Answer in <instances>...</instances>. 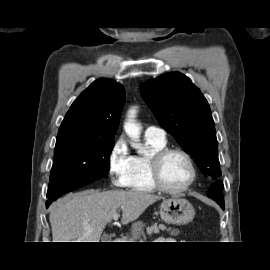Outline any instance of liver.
<instances>
[{
  "mask_svg": "<svg viewBox=\"0 0 270 270\" xmlns=\"http://www.w3.org/2000/svg\"><path fill=\"white\" fill-rule=\"evenodd\" d=\"M159 196L139 191H83L57 201L50 210L53 242H99L119 209L121 223L136 220Z\"/></svg>",
  "mask_w": 270,
  "mask_h": 270,
  "instance_id": "obj_1",
  "label": "liver"
}]
</instances>
